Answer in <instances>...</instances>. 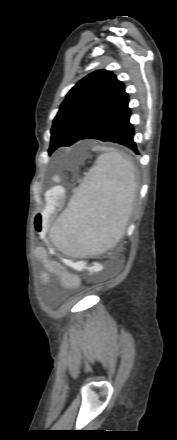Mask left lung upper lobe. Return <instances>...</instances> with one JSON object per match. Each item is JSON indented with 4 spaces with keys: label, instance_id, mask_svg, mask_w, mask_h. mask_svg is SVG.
I'll use <instances>...</instances> for the list:
<instances>
[{
    "label": "left lung upper lobe",
    "instance_id": "left-lung-upper-lobe-1",
    "mask_svg": "<svg viewBox=\"0 0 177 440\" xmlns=\"http://www.w3.org/2000/svg\"><path fill=\"white\" fill-rule=\"evenodd\" d=\"M124 84L107 70H98L79 81L53 121L49 154L81 140L94 128L128 105Z\"/></svg>",
    "mask_w": 177,
    "mask_h": 440
}]
</instances>
